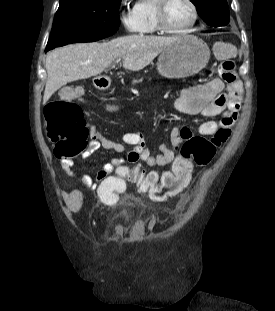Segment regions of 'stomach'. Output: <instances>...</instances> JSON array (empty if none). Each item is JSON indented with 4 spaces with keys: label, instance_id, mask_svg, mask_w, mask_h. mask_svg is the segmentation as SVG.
Masks as SVG:
<instances>
[{
    "label": "stomach",
    "instance_id": "stomach-1",
    "mask_svg": "<svg viewBox=\"0 0 275 311\" xmlns=\"http://www.w3.org/2000/svg\"><path fill=\"white\" fill-rule=\"evenodd\" d=\"M210 59L209 47L194 35L178 37L159 55L158 73L169 79L192 76L204 69Z\"/></svg>",
    "mask_w": 275,
    "mask_h": 311
}]
</instances>
